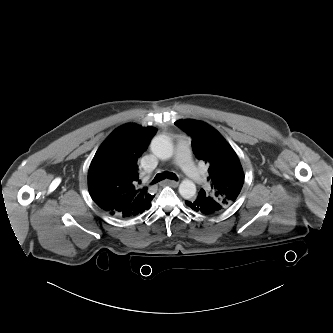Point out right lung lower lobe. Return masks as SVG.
Wrapping results in <instances>:
<instances>
[{
  "label": "right lung lower lobe",
  "mask_w": 333,
  "mask_h": 333,
  "mask_svg": "<svg viewBox=\"0 0 333 333\" xmlns=\"http://www.w3.org/2000/svg\"><path fill=\"white\" fill-rule=\"evenodd\" d=\"M108 213L111 214V215L118 216V217H123V216H121L120 214H118V213H116L114 211H111V212H108Z\"/></svg>",
  "instance_id": "obj_1"
}]
</instances>
